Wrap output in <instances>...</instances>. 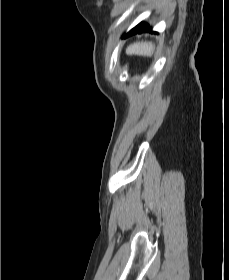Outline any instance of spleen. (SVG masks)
<instances>
[{"label":"spleen","mask_w":229,"mask_h":280,"mask_svg":"<svg viewBox=\"0 0 229 280\" xmlns=\"http://www.w3.org/2000/svg\"><path fill=\"white\" fill-rule=\"evenodd\" d=\"M155 47L151 42L134 43L128 48L130 54H137L151 57L154 53Z\"/></svg>","instance_id":"1"}]
</instances>
